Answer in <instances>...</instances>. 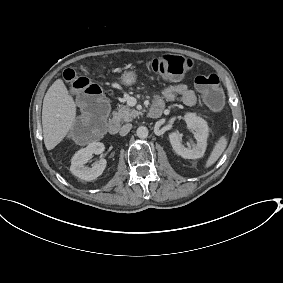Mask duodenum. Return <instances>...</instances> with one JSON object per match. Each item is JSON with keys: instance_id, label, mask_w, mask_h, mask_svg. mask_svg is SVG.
<instances>
[{"instance_id": "410a0bca", "label": "duodenum", "mask_w": 283, "mask_h": 283, "mask_svg": "<svg viewBox=\"0 0 283 283\" xmlns=\"http://www.w3.org/2000/svg\"><path fill=\"white\" fill-rule=\"evenodd\" d=\"M163 113V106L161 104L155 103L148 109V116L150 118H159ZM107 130L109 134L115 135L119 130V123L116 120H111L108 123Z\"/></svg>"}]
</instances>
